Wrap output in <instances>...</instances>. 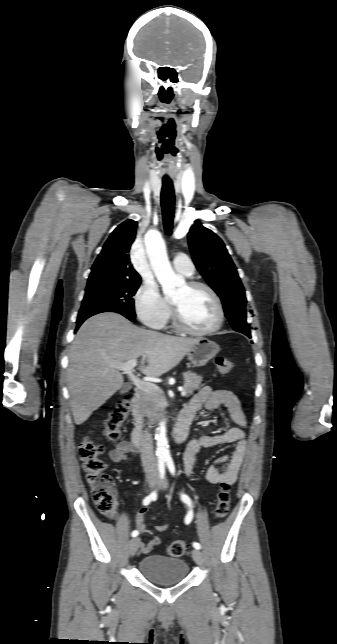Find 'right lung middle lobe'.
<instances>
[{
  "label": "right lung middle lobe",
  "mask_w": 337,
  "mask_h": 644,
  "mask_svg": "<svg viewBox=\"0 0 337 644\" xmlns=\"http://www.w3.org/2000/svg\"><path fill=\"white\" fill-rule=\"evenodd\" d=\"M141 281L88 282L77 321L102 312H116L135 317L134 299Z\"/></svg>",
  "instance_id": "right-lung-middle-lobe-1"
}]
</instances>
